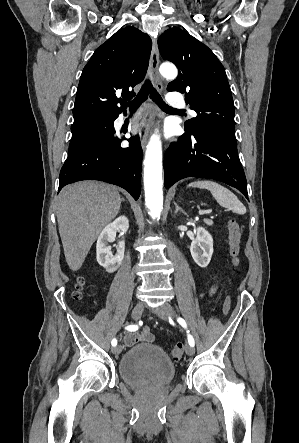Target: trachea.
<instances>
[{
  "label": "trachea",
  "instance_id": "obj_1",
  "mask_svg": "<svg viewBox=\"0 0 299 443\" xmlns=\"http://www.w3.org/2000/svg\"><path fill=\"white\" fill-rule=\"evenodd\" d=\"M148 95H150V98L157 103V105L163 109V110H176L170 106H168L161 96L158 94V92L153 87L150 80H146L143 84L141 90L139 91L138 95L130 102H128V106L130 111H135L138 109V107L148 98ZM179 111V110H176Z\"/></svg>",
  "mask_w": 299,
  "mask_h": 443
}]
</instances>
